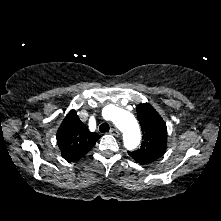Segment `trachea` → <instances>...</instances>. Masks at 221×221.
<instances>
[{
	"label": "trachea",
	"mask_w": 221,
	"mask_h": 221,
	"mask_svg": "<svg viewBox=\"0 0 221 221\" xmlns=\"http://www.w3.org/2000/svg\"><path fill=\"white\" fill-rule=\"evenodd\" d=\"M110 129L109 125L107 123H103L99 126V130L101 133H106Z\"/></svg>",
	"instance_id": "trachea-1"
}]
</instances>
